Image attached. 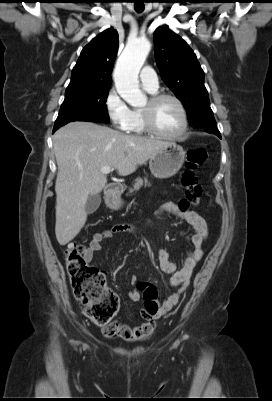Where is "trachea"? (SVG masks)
I'll return each instance as SVG.
<instances>
[{
    "mask_svg": "<svg viewBox=\"0 0 272 401\" xmlns=\"http://www.w3.org/2000/svg\"><path fill=\"white\" fill-rule=\"evenodd\" d=\"M134 2H135V5H134L135 11L138 13L143 12V10L145 8L143 0H135Z\"/></svg>",
    "mask_w": 272,
    "mask_h": 401,
    "instance_id": "3493384b",
    "label": "trachea"
}]
</instances>
